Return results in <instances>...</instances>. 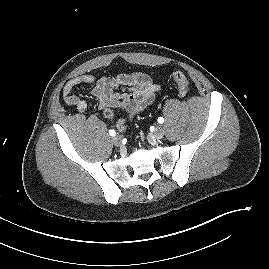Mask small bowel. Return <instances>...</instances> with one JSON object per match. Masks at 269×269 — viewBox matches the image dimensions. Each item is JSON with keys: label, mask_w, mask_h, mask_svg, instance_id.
<instances>
[{"label": "small bowel", "mask_w": 269, "mask_h": 269, "mask_svg": "<svg viewBox=\"0 0 269 269\" xmlns=\"http://www.w3.org/2000/svg\"><path fill=\"white\" fill-rule=\"evenodd\" d=\"M81 84H94L92 94L98 99L100 111L106 118H113L115 110L123 114L117 121L120 130H125L128 122L146 109L161 90L150 76L140 72L98 79L90 74L80 75L70 79L63 88L65 104L79 112L86 111L88 107L86 101L73 94L74 89Z\"/></svg>", "instance_id": "small-bowel-1"}]
</instances>
